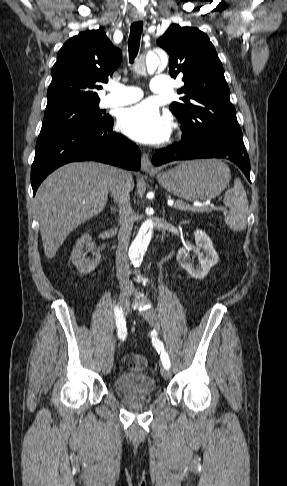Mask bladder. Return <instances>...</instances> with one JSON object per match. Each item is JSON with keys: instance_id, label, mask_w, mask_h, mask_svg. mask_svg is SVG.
Listing matches in <instances>:
<instances>
[{"instance_id": "obj_1", "label": "bladder", "mask_w": 287, "mask_h": 486, "mask_svg": "<svg viewBox=\"0 0 287 486\" xmlns=\"http://www.w3.org/2000/svg\"><path fill=\"white\" fill-rule=\"evenodd\" d=\"M115 389L124 394L150 395L156 390L155 380L143 373H123L114 381Z\"/></svg>"}]
</instances>
